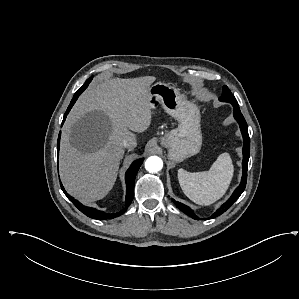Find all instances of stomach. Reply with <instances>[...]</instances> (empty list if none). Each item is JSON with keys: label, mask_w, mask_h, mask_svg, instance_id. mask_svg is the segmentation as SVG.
Segmentation results:
<instances>
[{"label": "stomach", "mask_w": 299, "mask_h": 299, "mask_svg": "<svg viewBox=\"0 0 299 299\" xmlns=\"http://www.w3.org/2000/svg\"><path fill=\"white\" fill-rule=\"evenodd\" d=\"M152 109L159 105L174 117L179 125L161 138V145L168 150V157L173 162L197 154L202 145L201 116L199 108L170 84L157 82L149 89Z\"/></svg>", "instance_id": "stomach-1"}]
</instances>
